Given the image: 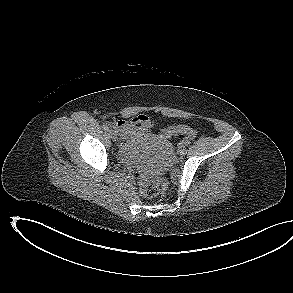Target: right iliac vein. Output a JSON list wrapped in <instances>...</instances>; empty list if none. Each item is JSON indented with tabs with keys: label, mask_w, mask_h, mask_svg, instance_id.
<instances>
[{
	"label": "right iliac vein",
	"mask_w": 293,
	"mask_h": 293,
	"mask_svg": "<svg viewBox=\"0 0 293 293\" xmlns=\"http://www.w3.org/2000/svg\"><path fill=\"white\" fill-rule=\"evenodd\" d=\"M108 134H109L110 138H111L113 141H116L117 136H116V133H115L113 130H109V131H108Z\"/></svg>",
	"instance_id": "63e3f726"
}]
</instances>
